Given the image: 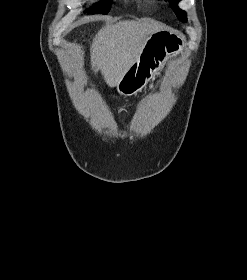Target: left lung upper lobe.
I'll return each instance as SVG.
<instances>
[{
    "label": "left lung upper lobe",
    "instance_id": "obj_1",
    "mask_svg": "<svg viewBox=\"0 0 247 280\" xmlns=\"http://www.w3.org/2000/svg\"><path fill=\"white\" fill-rule=\"evenodd\" d=\"M168 1H172L173 3L172 8L175 14L177 15V17L182 21L186 20V13L177 7V3L179 2V0H168Z\"/></svg>",
    "mask_w": 247,
    "mask_h": 280
}]
</instances>
